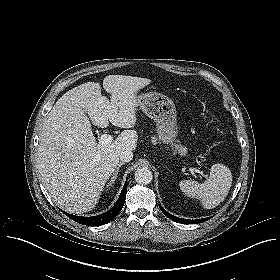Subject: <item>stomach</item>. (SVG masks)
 Wrapping results in <instances>:
<instances>
[{
  "label": "stomach",
  "instance_id": "0dacf381",
  "mask_svg": "<svg viewBox=\"0 0 280 280\" xmlns=\"http://www.w3.org/2000/svg\"><path fill=\"white\" fill-rule=\"evenodd\" d=\"M140 109L157 126V136L164 144H171L178 136L177 112L174 102L157 92L137 95Z\"/></svg>",
  "mask_w": 280,
  "mask_h": 280
}]
</instances>
